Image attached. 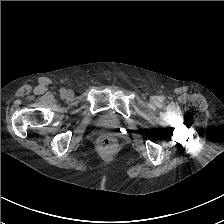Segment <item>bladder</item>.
Here are the masks:
<instances>
[{
	"mask_svg": "<svg viewBox=\"0 0 224 224\" xmlns=\"http://www.w3.org/2000/svg\"><path fill=\"white\" fill-rule=\"evenodd\" d=\"M98 127L114 130L120 127V120L118 116L112 111H104L99 114L95 120Z\"/></svg>",
	"mask_w": 224,
	"mask_h": 224,
	"instance_id": "31cf9c89",
	"label": "bladder"
}]
</instances>
